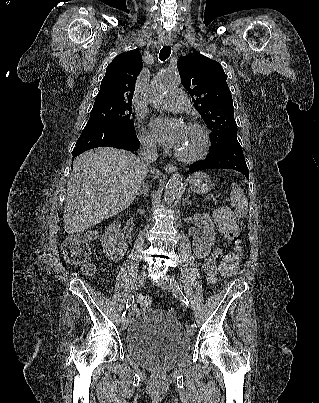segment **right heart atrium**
<instances>
[{"label": "right heart atrium", "instance_id": "1", "mask_svg": "<svg viewBox=\"0 0 319 403\" xmlns=\"http://www.w3.org/2000/svg\"><path fill=\"white\" fill-rule=\"evenodd\" d=\"M140 140L142 145L149 150H153L156 147L155 140L151 134L146 132L144 129L141 130Z\"/></svg>", "mask_w": 319, "mask_h": 403}]
</instances>
